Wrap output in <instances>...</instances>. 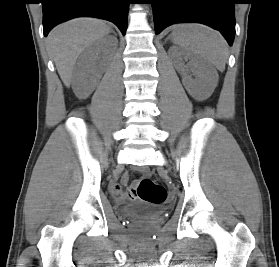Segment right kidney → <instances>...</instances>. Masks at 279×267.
I'll return each instance as SVG.
<instances>
[{
    "mask_svg": "<svg viewBox=\"0 0 279 267\" xmlns=\"http://www.w3.org/2000/svg\"><path fill=\"white\" fill-rule=\"evenodd\" d=\"M112 42L113 44H110L107 39H100L84 51L75 73L74 91L79 98L84 99L93 91V75L100 73L102 70L96 65L98 54L103 48L111 45L116 48L117 38L113 37Z\"/></svg>",
    "mask_w": 279,
    "mask_h": 267,
    "instance_id": "obj_1",
    "label": "right kidney"
}]
</instances>
